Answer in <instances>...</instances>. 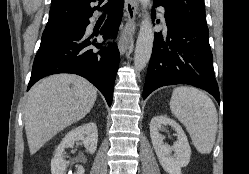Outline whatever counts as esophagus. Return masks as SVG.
Returning <instances> with one entry per match:
<instances>
[{
    "instance_id": "esophagus-1",
    "label": "esophagus",
    "mask_w": 249,
    "mask_h": 174,
    "mask_svg": "<svg viewBox=\"0 0 249 174\" xmlns=\"http://www.w3.org/2000/svg\"><path fill=\"white\" fill-rule=\"evenodd\" d=\"M139 11L138 0H125V23L119 39V51L124 54L132 40V29L136 24Z\"/></svg>"
}]
</instances>
